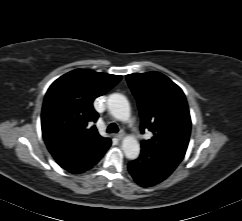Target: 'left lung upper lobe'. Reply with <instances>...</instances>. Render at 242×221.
I'll list each match as a JSON object with an SVG mask.
<instances>
[{
    "label": "left lung upper lobe",
    "mask_w": 242,
    "mask_h": 221,
    "mask_svg": "<svg viewBox=\"0 0 242 221\" xmlns=\"http://www.w3.org/2000/svg\"><path fill=\"white\" fill-rule=\"evenodd\" d=\"M128 84L137 99L141 132L153 133L141 146L177 163L183 159L191 131V118L181 88L158 72L129 74Z\"/></svg>",
    "instance_id": "left-lung-upper-lobe-1"
}]
</instances>
